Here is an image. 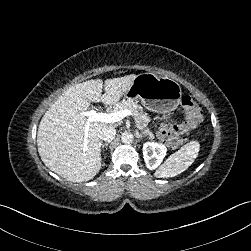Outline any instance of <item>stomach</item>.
I'll use <instances>...</instances> for the list:
<instances>
[{
	"instance_id": "obj_1",
	"label": "stomach",
	"mask_w": 251,
	"mask_h": 251,
	"mask_svg": "<svg viewBox=\"0 0 251 251\" xmlns=\"http://www.w3.org/2000/svg\"><path fill=\"white\" fill-rule=\"evenodd\" d=\"M127 97L139 99L149 111L165 114L178 107L182 89L177 81L168 76L143 73L134 79Z\"/></svg>"
}]
</instances>
